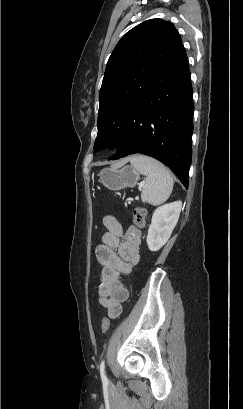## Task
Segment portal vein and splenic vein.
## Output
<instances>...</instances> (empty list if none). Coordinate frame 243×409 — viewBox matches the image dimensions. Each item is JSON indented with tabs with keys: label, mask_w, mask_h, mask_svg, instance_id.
Segmentation results:
<instances>
[{
	"label": "portal vein and splenic vein",
	"mask_w": 243,
	"mask_h": 409,
	"mask_svg": "<svg viewBox=\"0 0 243 409\" xmlns=\"http://www.w3.org/2000/svg\"><path fill=\"white\" fill-rule=\"evenodd\" d=\"M139 187L142 188V187H143V183L139 184Z\"/></svg>",
	"instance_id": "portal-vein-and-splenic-vein-1"
}]
</instances>
